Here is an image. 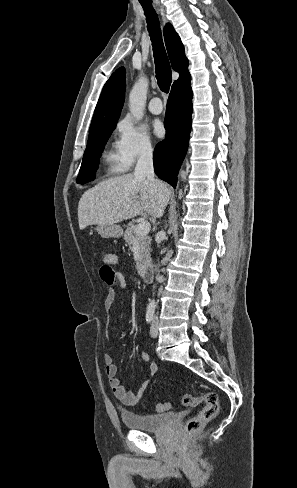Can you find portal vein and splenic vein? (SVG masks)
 Returning a JSON list of instances; mask_svg holds the SVG:
<instances>
[{"mask_svg": "<svg viewBox=\"0 0 297 488\" xmlns=\"http://www.w3.org/2000/svg\"><path fill=\"white\" fill-rule=\"evenodd\" d=\"M151 229V225L147 221H142L136 226V233L138 235L147 234Z\"/></svg>", "mask_w": 297, "mask_h": 488, "instance_id": "1", "label": "portal vein and splenic vein"}]
</instances>
